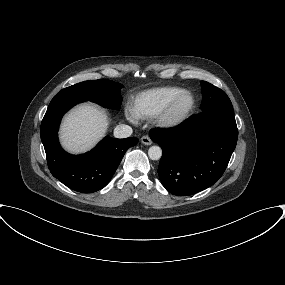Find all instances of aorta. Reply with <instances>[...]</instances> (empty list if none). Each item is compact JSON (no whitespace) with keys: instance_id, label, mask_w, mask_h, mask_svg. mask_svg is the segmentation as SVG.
Segmentation results:
<instances>
[{"instance_id":"aorta-1","label":"aorta","mask_w":285,"mask_h":285,"mask_svg":"<svg viewBox=\"0 0 285 285\" xmlns=\"http://www.w3.org/2000/svg\"><path fill=\"white\" fill-rule=\"evenodd\" d=\"M148 156L151 160H159L162 156V150L159 146H151L148 150Z\"/></svg>"}]
</instances>
